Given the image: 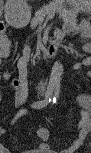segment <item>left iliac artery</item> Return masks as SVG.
<instances>
[{
    "mask_svg": "<svg viewBox=\"0 0 91 153\" xmlns=\"http://www.w3.org/2000/svg\"><path fill=\"white\" fill-rule=\"evenodd\" d=\"M58 101V90H56L55 96L53 98V103L56 104Z\"/></svg>",
    "mask_w": 91,
    "mask_h": 153,
    "instance_id": "left-iliac-artery-1",
    "label": "left iliac artery"
}]
</instances>
